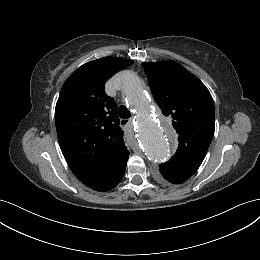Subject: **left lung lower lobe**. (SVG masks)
I'll return each instance as SVG.
<instances>
[{"mask_svg":"<svg viewBox=\"0 0 260 260\" xmlns=\"http://www.w3.org/2000/svg\"><path fill=\"white\" fill-rule=\"evenodd\" d=\"M190 177L191 176H188V175L168 173V172H165L162 175L161 174L158 175V178L160 181L170 182L173 184H181Z\"/></svg>","mask_w":260,"mask_h":260,"instance_id":"1","label":"left lung lower lobe"}]
</instances>
